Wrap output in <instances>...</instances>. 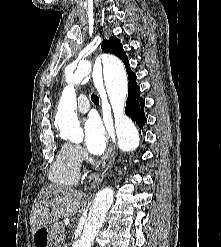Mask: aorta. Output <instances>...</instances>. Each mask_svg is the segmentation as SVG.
<instances>
[{"label": "aorta", "instance_id": "762f6f07", "mask_svg": "<svg viewBox=\"0 0 221 247\" xmlns=\"http://www.w3.org/2000/svg\"><path fill=\"white\" fill-rule=\"evenodd\" d=\"M103 75L107 94L115 117L117 144L124 151H133L139 146V132L130 118L125 116L124 107L128 92V81L123 64L115 57L103 56ZM91 72V63L80 61L65 70L67 86L64 88L56 114L61 133L71 142L83 139L75 110L77 97L74 85L82 82ZM113 203V189L106 188L95 197L81 233L72 247H92L93 241L103 226L108 210Z\"/></svg>", "mask_w": 221, "mask_h": 247}]
</instances>
